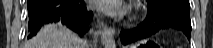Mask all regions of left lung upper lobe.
Wrapping results in <instances>:
<instances>
[{"label": "left lung upper lobe", "instance_id": "left-lung-upper-lobe-1", "mask_svg": "<svg viewBox=\"0 0 213 48\" xmlns=\"http://www.w3.org/2000/svg\"><path fill=\"white\" fill-rule=\"evenodd\" d=\"M147 2L148 6L151 7H156L164 3H171L186 9H190L189 0H147Z\"/></svg>", "mask_w": 213, "mask_h": 48}]
</instances>
